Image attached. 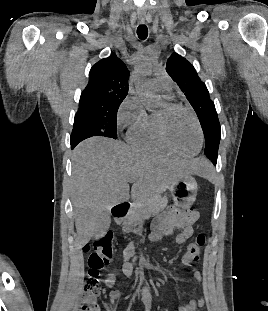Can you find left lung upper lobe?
Instances as JSON below:
<instances>
[{
    "mask_svg": "<svg viewBox=\"0 0 268 311\" xmlns=\"http://www.w3.org/2000/svg\"><path fill=\"white\" fill-rule=\"evenodd\" d=\"M166 71L195 110L206 140L204 153L213 164L216 163L221 129L215 105L210 99L206 85L198 77L193 65L175 52L167 61Z\"/></svg>",
    "mask_w": 268,
    "mask_h": 311,
    "instance_id": "5c2ea615",
    "label": "left lung upper lobe"
}]
</instances>
